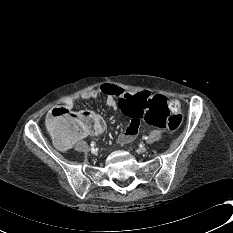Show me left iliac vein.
Segmentation results:
<instances>
[{
    "mask_svg": "<svg viewBox=\"0 0 233 233\" xmlns=\"http://www.w3.org/2000/svg\"><path fill=\"white\" fill-rule=\"evenodd\" d=\"M139 151H140L141 153H144V152L147 151V147H146L145 145H142V146L139 148Z\"/></svg>",
    "mask_w": 233,
    "mask_h": 233,
    "instance_id": "4c4485c4",
    "label": "left iliac vein"
}]
</instances>
